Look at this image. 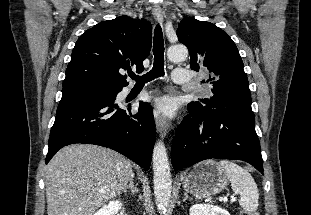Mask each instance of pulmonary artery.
<instances>
[{
  "label": "pulmonary artery",
  "instance_id": "pulmonary-artery-1",
  "mask_svg": "<svg viewBox=\"0 0 311 215\" xmlns=\"http://www.w3.org/2000/svg\"><path fill=\"white\" fill-rule=\"evenodd\" d=\"M172 78L173 81L178 84L189 82L191 79L189 71L183 68L174 69Z\"/></svg>",
  "mask_w": 311,
  "mask_h": 215
}]
</instances>
